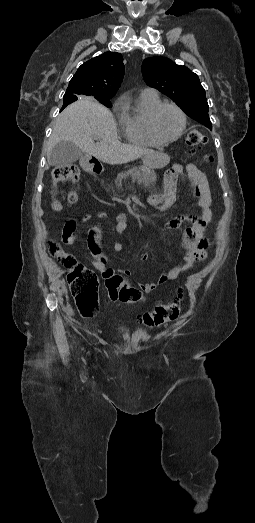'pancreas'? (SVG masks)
I'll use <instances>...</instances> for the list:
<instances>
[{
    "mask_svg": "<svg viewBox=\"0 0 255 523\" xmlns=\"http://www.w3.org/2000/svg\"><path fill=\"white\" fill-rule=\"evenodd\" d=\"M128 176H130L133 184L134 182H137V184H142V186H153L157 178L154 172L149 174V170H145V168H132V170H127V172H120V174H118L115 180V184H117L118 188H121L122 180H126Z\"/></svg>",
    "mask_w": 255,
    "mask_h": 523,
    "instance_id": "cf45deb5",
    "label": "pancreas"
}]
</instances>
